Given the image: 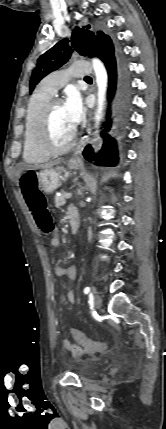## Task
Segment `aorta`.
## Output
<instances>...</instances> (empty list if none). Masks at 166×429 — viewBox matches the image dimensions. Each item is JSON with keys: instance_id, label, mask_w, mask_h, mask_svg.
<instances>
[{"instance_id": "obj_1", "label": "aorta", "mask_w": 166, "mask_h": 429, "mask_svg": "<svg viewBox=\"0 0 166 429\" xmlns=\"http://www.w3.org/2000/svg\"><path fill=\"white\" fill-rule=\"evenodd\" d=\"M93 69L96 75V82L98 86V109L95 115L96 124H99L101 113L103 110L105 93L107 89L108 76L103 63L98 59H93Z\"/></svg>"}]
</instances>
